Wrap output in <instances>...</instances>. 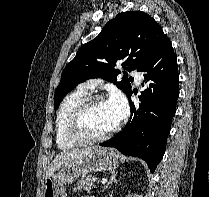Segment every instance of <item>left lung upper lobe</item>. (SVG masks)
I'll return each instance as SVG.
<instances>
[{
    "label": "left lung upper lobe",
    "instance_id": "5c2ea615",
    "mask_svg": "<svg viewBox=\"0 0 209 197\" xmlns=\"http://www.w3.org/2000/svg\"><path fill=\"white\" fill-rule=\"evenodd\" d=\"M166 39L161 26L148 14L141 11L119 13L95 39L81 46L75 58L66 65L55 91V109L68 92L90 78L101 77L128 96L133 79L117 81L121 71L114 68L116 62L122 60V67L127 71H140Z\"/></svg>",
    "mask_w": 209,
    "mask_h": 197
}]
</instances>
